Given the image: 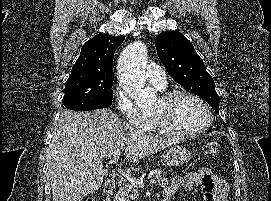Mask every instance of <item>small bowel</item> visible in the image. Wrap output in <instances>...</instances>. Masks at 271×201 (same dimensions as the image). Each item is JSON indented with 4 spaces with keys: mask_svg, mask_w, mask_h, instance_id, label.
Returning a JSON list of instances; mask_svg holds the SVG:
<instances>
[{
    "mask_svg": "<svg viewBox=\"0 0 271 201\" xmlns=\"http://www.w3.org/2000/svg\"><path fill=\"white\" fill-rule=\"evenodd\" d=\"M180 188L188 192L200 189L203 192L204 201H228L226 183L208 168L189 172L184 177H173L169 185L164 188L163 196L168 195L171 198Z\"/></svg>",
    "mask_w": 271,
    "mask_h": 201,
    "instance_id": "obj_1",
    "label": "small bowel"
}]
</instances>
